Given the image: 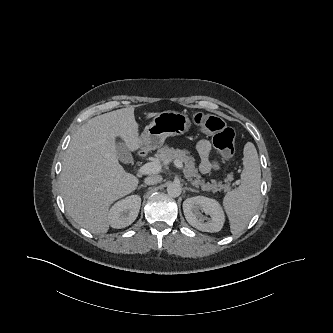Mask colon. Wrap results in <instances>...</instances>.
Wrapping results in <instances>:
<instances>
[{
	"mask_svg": "<svg viewBox=\"0 0 333 333\" xmlns=\"http://www.w3.org/2000/svg\"><path fill=\"white\" fill-rule=\"evenodd\" d=\"M193 122L204 132L214 134V147L224 157L229 158L234 155L235 133L219 117L199 112L193 116Z\"/></svg>",
	"mask_w": 333,
	"mask_h": 333,
	"instance_id": "colon-1",
	"label": "colon"
}]
</instances>
